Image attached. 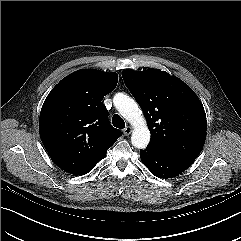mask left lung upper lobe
Listing matches in <instances>:
<instances>
[{
  "label": "left lung upper lobe",
  "instance_id": "5c2ea615",
  "mask_svg": "<svg viewBox=\"0 0 241 241\" xmlns=\"http://www.w3.org/2000/svg\"><path fill=\"white\" fill-rule=\"evenodd\" d=\"M125 85L140 105L151 133L150 147L195 160L206 139V114L180 79L158 69L124 70Z\"/></svg>",
  "mask_w": 241,
  "mask_h": 241
}]
</instances>
